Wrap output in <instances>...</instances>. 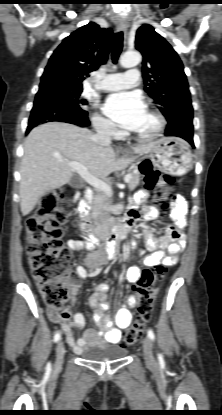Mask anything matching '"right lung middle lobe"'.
Segmentation results:
<instances>
[{
  "mask_svg": "<svg viewBox=\"0 0 222 415\" xmlns=\"http://www.w3.org/2000/svg\"><path fill=\"white\" fill-rule=\"evenodd\" d=\"M63 91L66 92L73 100H75L79 105L82 104H86V100L81 99L80 95L82 92V87H74V86H69V85H65L63 83L60 84Z\"/></svg>",
  "mask_w": 222,
  "mask_h": 415,
  "instance_id": "1",
  "label": "right lung middle lobe"
}]
</instances>
